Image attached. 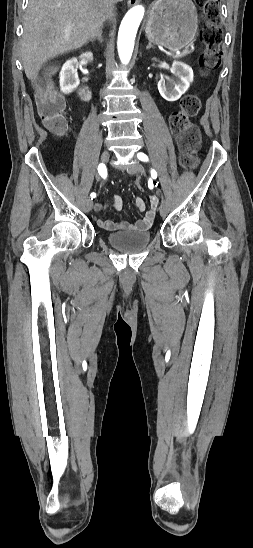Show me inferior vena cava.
<instances>
[{
  "label": "inferior vena cava",
  "instance_id": "1",
  "mask_svg": "<svg viewBox=\"0 0 253 548\" xmlns=\"http://www.w3.org/2000/svg\"><path fill=\"white\" fill-rule=\"evenodd\" d=\"M122 0H104L105 17H111L115 10V4Z\"/></svg>",
  "mask_w": 253,
  "mask_h": 548
}]
</instances>
